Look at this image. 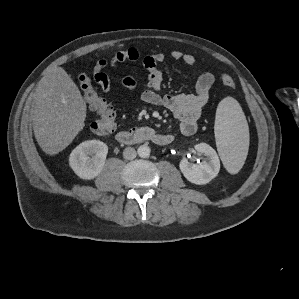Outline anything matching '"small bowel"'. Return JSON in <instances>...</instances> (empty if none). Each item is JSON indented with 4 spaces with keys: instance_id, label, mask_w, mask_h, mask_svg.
Wrapping results in <instances>:
<instances>
[{
    "instance_id": "small-bowel-1",
    "label": "small bowel",
    "mask_w": 299,
    "mask_h": 299,
    "mask_svg": "<svg viewBox=\"0 0 299 299\" xmlns=\"http://www.w3.org/2000/svg\"><path fill=\"white\" fill-rule=\"evenodd\" d=\"M171 57L175 61H180L188 66L196 64V58L191 54L180 51H173ZM141 59L140 52L136 48H128L116 52L110 60L101 59L94 67V80L101 87L102 91H110L111 84L109 77L103 72L108 66L116 67L125 61L136 62ZM165 57L162 53H154L142 58L144 68L148 71L147 81L141 92V99L153 106H163L168 109L178 121V132L190 136L198 127V122L202 116L203 108L210 99V91L214 84V75L210 72H202L196 82L193 93H181L175 95H162L160 93L163 72L159 67ZM121 84L128 90H133L137 86V81L132 76H124ZM169 143L173 140V133L163 134Z\"/></svg>"
}]
</instances>
